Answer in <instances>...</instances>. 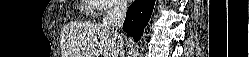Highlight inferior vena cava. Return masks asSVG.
Instances as JSON below:
<instances>
[{
    "mask_svg": "<svg viewBox=\"0 0 249 57\" xmlns=\"http://www.w3.org/2000/svg\"><path fill=\"white\" fill-rule=\"evenodd\" d=\"M127 3L123 0H116L110 10L106 12L103 18L102 25L108 28L111 32L115 33L120 39L121 36L118 34V30L122 27L126 17ZM119 47L123 54V41L121 40Z\"/></svg>",
    "mask_w": 249,
    "mask_h": 57,
    "instance_id": "inferior-vena-cava-1",
    "label": "inferior vena cava"
}]
</instances>
